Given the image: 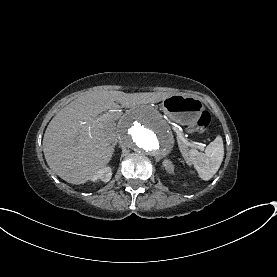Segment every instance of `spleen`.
I'll return each instance as SVG.
<instances>
[{"mask_svg":"<svg viewBox=\"0 0 277 277\" xmlns=\"http://www.w3.org/2000/svg\"><path fill=\"white\" fill-rule=\"evenodd\" d=\"M188 154L194 168L203 180H209L218 171L224 155L222 137L219 135L205 149L204 153L190 147Z\"/></svg>","mask_w":277,"mask_h":277,"instance_id":"obj_1","label":"spleen"}]
</instances>
